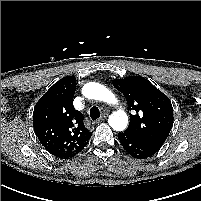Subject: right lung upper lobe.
Masks as SVG:
<instances>
[{"instance_id":"1","label":"right lung upper lobe","mask_w":201,"mask_h":201,"mask_svg":"<svg viewBox=\"0 0 201 201\" xmlns=\"http://www.w3.org/2000/svg\"><path fill=\"white\" fill-rule=\"evenodd\" d=\"M75 89V76L63 77L34 107L36 136L49 153L61 159L78 154L92 135L84 125L82 113L73 106Z\"/></svg>"}]
</instances>
